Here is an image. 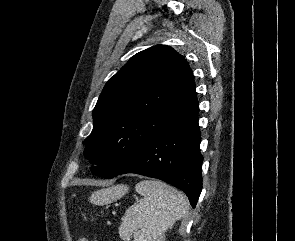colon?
<instances>
[{
  "mask_svg": "<svg viewBox=\"0 0 295 241\" xmlns=\"http://www.w3.org/2000/svg\"><path fill=\"white\" fill-rule=\"evenodd\" d=\"M78 241H93V240H88L86 238H79Z\"/></svg>",
  "mask_w": 295,
  "mask_h": 241,
  "instance_id": "1",
  "label": "colon"
}]
</instances>
